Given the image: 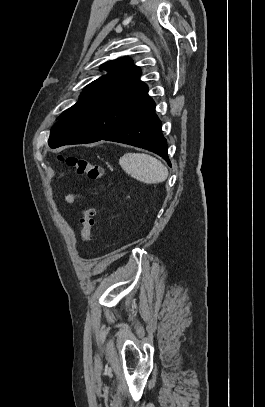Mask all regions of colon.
Returning a JSON list of instances; mask_svg holds the SVG:
<instances>
[{"mask_svg":"<svg viewBox=\"0 0 265 407\" xmlns=\"http://www.w3.org/2000/svg\"><path fill=\"white\" fill-rule=\"evenodd\" d=\"M60 160L74 169L77 174L86 175L89 179L97 181L103 178L104 168L87 158L77 156H60ZM96 210L92 206H87L81 218L80 239L82 243H88L91 240L93 227L95 225Z\"/></svg>","mask_w":265,"mask_h":407,"instance_id":"colon-1","label":"colon"}]
</instances>
